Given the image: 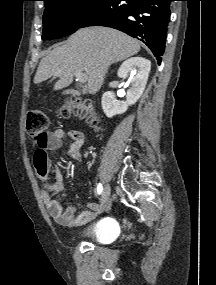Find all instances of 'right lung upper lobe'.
I'll list each match as a JSON object with an SVG mask.
<instances>
[{"mask_svg": "<svg viewBox=\"0 0 216 285\" xmlns=\"http://www.w3.org/2000/svg\"><path fill=\"white\" fill-rule=\"evenodd\" d=\"M44 1V3H47L48 1H50V0H43Z\"/></svg>", "mask_w": 216, "mask_h": 285, "instance_id": "obj_1", "label": "right lung upper lobe"}]
</instances>
